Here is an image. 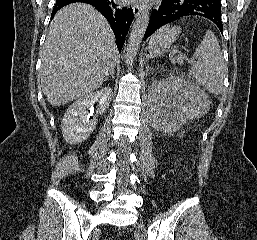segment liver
Masks as SVG:
<instances>
[{
    "mask_svg": "<svg viewBox=\"0 0 257 240\" xmlns=\"http://www.w3.org/2000/svg\"><path fill=\"white\" fill-rule=\"evenodd\" d=\"M117 57L113 31L94 7L73 3L60 9L42 48L39 76L48 102L60 106L98 89Z\"/></svg>",
    "mask_w": 257,
    "mask_h": 240,
    "instance_id": "1",
    "label": "liver"
}]
</instances>
